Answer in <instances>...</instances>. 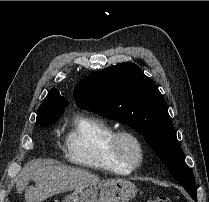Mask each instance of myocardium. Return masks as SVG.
I'll return each mask as SVG.
<instances>
[{
  "mask_svg": "<svg viewBox=\"0 0 209 202\" xmlns=\"http://www.w3.org/2000/svg\"><path fill=\"white\" fill-rule=\"evenodd\" d=\"M128 142L133 144V151H129L125 147ZM109 152L117 162L136 168L143 161L144 145L138 134L130 129L123 128L113 132L109 141Z\"/></svg>",
  "mask_w": 209,
  "mask_h": 202,
  "instance_id": "1",
  "label": "myocardium"
}]
</instances>
